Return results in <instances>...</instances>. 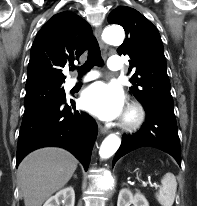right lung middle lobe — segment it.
Masks as SVG:
<instances>
[{
  "label": "right lung middle lobe",
  "mask_w": 197,
  "mask_h": 206,
  "mask_svg": "<svg viewBox=\"0 0 197 206\" xmlns=\"http://www.w3.org/2000/svg\"><path fill=\"white\" fill-rule=\"evenodd\" d=\"M66 99L63 87L45 86L26 89L25 111L31 112L42 106L60 102Z\"/></svg>",
  "instance_id": "right-lung-middle-lobe-1"
}]
</instances>
